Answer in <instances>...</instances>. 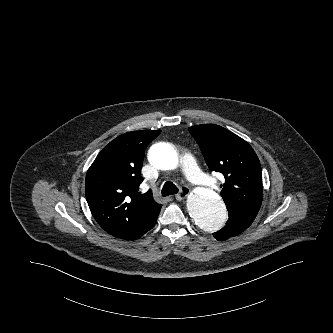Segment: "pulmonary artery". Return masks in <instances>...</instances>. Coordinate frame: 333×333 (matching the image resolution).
I'll list each match as a JSON object with an SVG mask.
<instances>
[{
	"instance_id": "1",
	"label": "pulmonary artery",
	"mask_w": 333,
	"mask_h": 333,
	"mask_svg": "<svg viewBox=\"0 0 333 333\" xmlns=\"http://www.w3.org/2000/svg\"><path fill=\"white\" fill-rule=\"evenodd\" d=\"M181 166L186 178L194 185L213 188L214 183L200 170L194 157L186 153L181 157Z\"/></svg>"
}]
</instances>
